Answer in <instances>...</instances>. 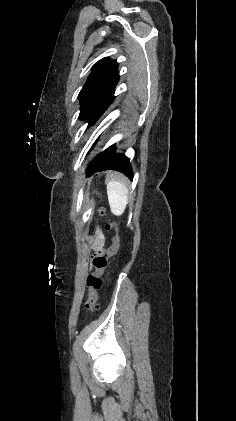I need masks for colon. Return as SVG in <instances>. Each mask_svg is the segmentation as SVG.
Returning <instances> with one entry per match:
<instances>
[{
  "instance_id": "obj_1",
  "label": "colon",
  "mask_w": 236,
  "mask_h": 421,
  "mask_svg": "<svg viewBox=\"0 0 236 421\" xmlns=\"http://www.w3.org/2000/svg\"><path fill=\"white\" fill-rule=\"evenodd\" d=\"M100 213L105 215L104 209H101ZM106 228L108 230H114L115 236L113 238V243L109 248L95 254L91 259L92 272L87 277V288L89 291V296L85 302V310L87 312L95 311L99 308L97 302V291L102 285V275L107 267L109 258L115 255L120 247L121 239L117 227L114 225V223L108 221Z\"/></svg>"
}]
</instances>
